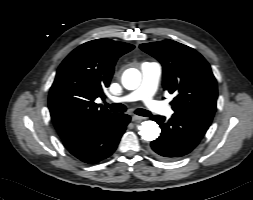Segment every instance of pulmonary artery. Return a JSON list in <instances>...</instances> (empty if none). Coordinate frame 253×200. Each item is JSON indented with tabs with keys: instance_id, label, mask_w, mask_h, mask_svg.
<instances>
[{
	"instance_id": "e3ab8cb5",
	"label": "pulmonary artery",
	"mask_w": 253,
	"mask_h": 200,
	"mask_svg": "<svg viewBox=\"0 0 253 200\" xmlns=\"http://www.w3.org/2000/svg\"><path fill=\"white\" fill-rule=\"evenodd\" d=\"M142 82L141 85L133 92L112 99L115 103L133 102L141 100L153 112L170 116L172 109L154 99L155 92L161 77L162 68L156 62H144L141 65Z\"/></svg>"
}]
</instances>
